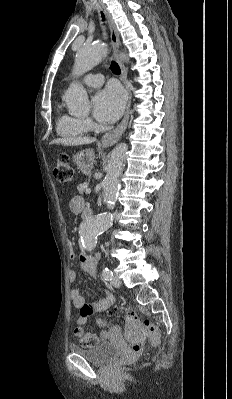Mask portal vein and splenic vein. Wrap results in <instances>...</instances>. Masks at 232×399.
Wrapping results in <instances>:
<instances>
[{
	"label": "portal vein and splenic vein",
	"mask_w": 232,
	"mask_h": 399,
	"mask_svg": "<svg viewBox=\"0 0 232 399\" xmlns=\"http://www.w3.org/2000/svg\"><path fill=\"white\" fill-rule=\"evenodd\" d=\"M85 194H91L90 188H87V190H85Z\"/></svg>",
	"instance_id": "18ae733b"
}]
</instances>
